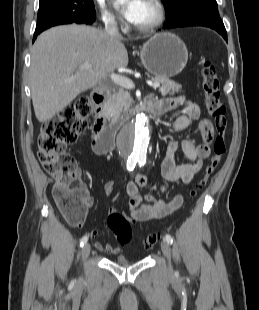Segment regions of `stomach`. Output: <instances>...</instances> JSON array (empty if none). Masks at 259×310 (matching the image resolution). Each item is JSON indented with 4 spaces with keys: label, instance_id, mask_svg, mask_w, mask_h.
<instances>
[{
    "label": "stomach",
    "instance_id": "stomach-1",
    "mask_svg": "<svg viewBox=\"0 0 259 310\" xmlns=\"http://www.w3.org/2000/svg\"><path fill=\"white\" fill-rule=\"evenodd\" d=\"M141 61L155 77L170 78L182 72L188 51L184 42L172 33H159L144 43Z\"/></svg>",
    "mask_w": 259,
    "mask_h": 310
}]
</instances>
